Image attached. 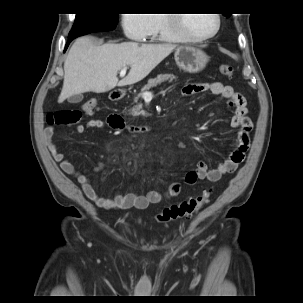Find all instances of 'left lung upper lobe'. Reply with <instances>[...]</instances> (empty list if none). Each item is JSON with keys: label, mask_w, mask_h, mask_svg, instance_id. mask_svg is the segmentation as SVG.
Listing matches in <instances>:
<instances>
[{"label": "left lung upper lobe", "mask_w": 303, "mask_h": 303, "mask_svg": "<svg viewBox=\"0 0 303 303\" xmlns=\"http://www.w3.org/2000/svg\"><path fill=\"white\" fill-rule=\"evenodd\" d=\"M224 16L229 17V16H230V14H229V15L224 14Z\"/></svg>", "instance_id": "left-lung-upper-lobe-1"}]
</instances>
